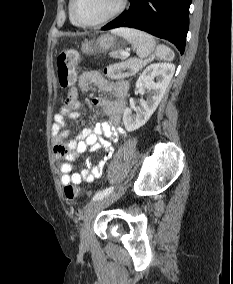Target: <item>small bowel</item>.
I'll list each match as a JSON object with an SVG mask.
<instances>
[{
    "mask_svg": "<svg viewBox=\"0 0 233 284\" xmlns=\"http://www.w3.org/2000/svg\"><path fill=\"white\" fill-rule=\"evenodd\" d=\"M91 85L101 91L111 93L113 98L94 97L92 102L100 107L107 116V120L96 124L92 128H84L74 139L67 140L69 132L65 129V119H77L80 116V102L77 89L74 88L66 97L59 112L54 117L52 127V141L54 154L57 160L62 161L59 172L61 183L79 185L82 182H93L100 177L104 166L114 155V148L107 140L119 136L126 137V132L120 124L121 115L125 108L124 95L128 85L125 82L111 83L97 71H85L78 80V88L88 90ZM105 149L106 155L96 165H91L81 172H72V162L88 150Z\"/></svg>",
    "mask_w": 233,
    "mask_h": 284,
    "instance_id": "1",
    "label": "small bowel"
}]
</instances>
